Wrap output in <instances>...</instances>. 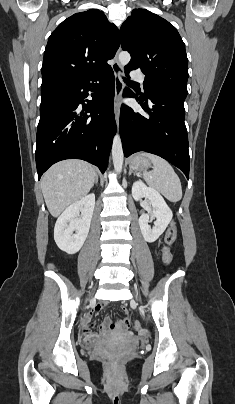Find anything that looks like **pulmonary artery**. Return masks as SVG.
Listing matches in <instances>:
<instances>
[{"mask_svg": "<svg viewBox=\"0 0 235 404\" xmlns=\"http://www.w3.org/2000/svg\"><path fill=\"white\" fill-rule=\"evenodd\" d=\"M131 77L138 82H143V76L138 70H132Z\"/></svg>", "mask_w": 235, "mask_h": 404, "instance_id": "e3ab8cb5", "label": "pulmonary artery"}]
</instances>
